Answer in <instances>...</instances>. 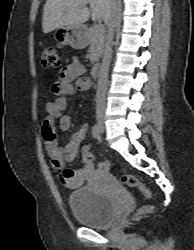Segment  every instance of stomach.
<instances>
[{
	"mask_svg": "<svg viewBox=\"0 0 194 250\" xmlns=\"http://www.w3.org/2000/svg\"><path fill=\"white\" fill-rule=\"evenodd\" d=\"M54 38L60 45H71L76 49H82L87 44L86 29L82 25L58 29Z\"/></svg>",
	"mask_w": 194,
	"mask_h": 250,
	"instance_id": "obj_1",
	"label": "stomach"
}]
</instances>
